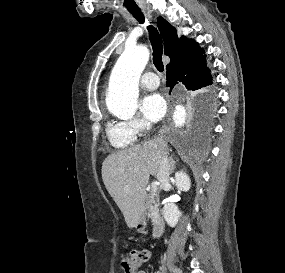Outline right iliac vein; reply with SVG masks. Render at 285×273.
<instances>
[{
	"label": "right iliac vein",
	"instance_id": "1",
	"mask_svg": "<svg viewBox=\"0 0 285 273\" xmlns=\"http://www.w3.org/2000/svg\"><path fill=\"white\" fill-rule=\"evenodd\" d=\"M174 273H182V271L179 268H175Z\"/></svg>",
	"mask_w": 285,
	"mask_h": 273
}]
</instances>
